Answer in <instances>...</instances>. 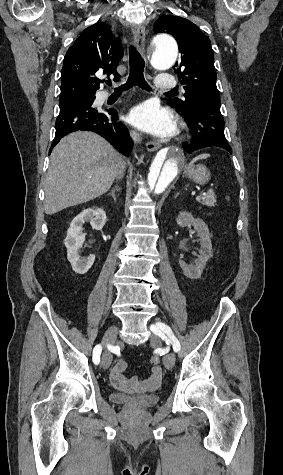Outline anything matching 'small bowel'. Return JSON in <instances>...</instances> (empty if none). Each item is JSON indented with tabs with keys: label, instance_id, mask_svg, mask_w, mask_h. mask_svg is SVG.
Instances as JSON below:
<instances>
[{
	"label": "small bowel",
	"instance_id": "small-bowel-1",
	"mask_svg": "<svg viewBox=\"0 0 283 475\" xmlns=\"http://www.w3.org/2000/svg\"><path fill=\"white\" fill-rule=\"evenodd\" d=\"M127 368V363L124 359H119L115 365L112 367L109 375V380L111 385L118 390L127 391L129 389L130 384H136L137 378L131 377L130 379L125 378L124 372ZM162 379V369L160 366L153 367L152 374L149 378L141 377L140 383L147 384L148 381L153 384L157 385Z\"/></svg>",
	"mask_w": 283,
	"mask_h": 475
}]
</instances>
